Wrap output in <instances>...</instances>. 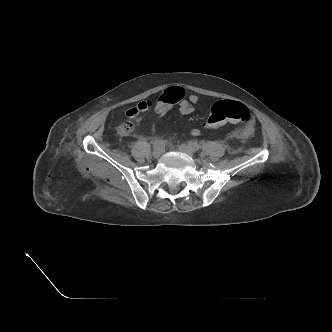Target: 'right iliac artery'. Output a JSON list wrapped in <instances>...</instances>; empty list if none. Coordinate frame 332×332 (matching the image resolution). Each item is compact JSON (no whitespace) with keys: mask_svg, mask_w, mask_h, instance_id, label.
<instances>
[{"mask_svg":"<svg viewBox=\"0 0 332 332\" xmlns=\"http://www.w3.org/2000/svg\"><path fill=\"white\" fill-rule=\"evenodd\" d=\"M164 145V140L159 138V139H156L153 143V147L156 149L158 147H162Z\"/></svg>","mask_w":332,"mask_h":332,"instance_id":"1","label":"right iliac artery"}]
</instances>
